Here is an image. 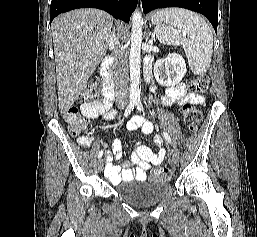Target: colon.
Segmentation results:
<instances>
[{
	"label": "colon",
	"instance_id": "5ec220e1",
	"mask_svg": "<svg viewBox=\"0 0 257 237\" xmlns=\"http://www.w3.org/2000/svg\"><path fill=\"white\" fill-rule=\"evenodd\" d=\"M209 78L207 75H198L193 78L189 84L192 92L204 93L207 91ZM98 96L97 83L92 81L89 83L82 93L84 100H92ZM183 117L187 128L190 131H195L199 125L202 115L201 112L191 104L183 106ZM65 120L69 124V130L73 135L79 134L81 131L90 128V122L82 117L76 107H70L65 113ZM171 177V171L168 168H159L154 170L150 175V180L153 182L167 181Z\"/></svg>",
	"mask_w": 257,
	"mask_h": 237
}]
</instances>
